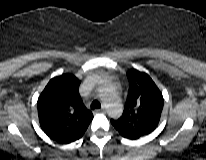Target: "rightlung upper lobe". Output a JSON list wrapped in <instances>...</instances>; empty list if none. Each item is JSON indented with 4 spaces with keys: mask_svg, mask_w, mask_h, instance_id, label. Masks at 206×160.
Returning <instances> with one entry per match:
<instances>
[{
    "mask_svg": "<svg viewBox=\"0 0 206 160\" xmlns=\"http://www.w3.org/2000/svg\"><path fill=\"white\" fill-rule=\"evenodd\" d=\"M80 81L72 74L52 78L38 98L41 128L53 140L68 144L83 136L93 119L79 95Z\"/></svg>",
    "mask_w": 206,
    "mask_h": 160,
    "instance_id": "1",
    "label": "right lung upper lobe"
}]
</instances>
